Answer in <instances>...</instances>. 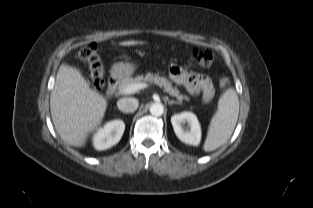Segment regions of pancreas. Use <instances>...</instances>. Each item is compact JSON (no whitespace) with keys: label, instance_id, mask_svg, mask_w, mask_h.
Listing matches in <instances>:
<instances>
[{"label":"pancreas","instance_id":"1","mask_svg":"<svg viewBox=\"0 0 313 208\" xmlns=\"http://www.w3.org/2000/svg\"><path fill=\"white\" fill-rule=\"evenodd\" d=\"M143 82H150L158 85L159 87H163L164 91L167 92L169 95L176 97L179 102H182L183 99L189 100L187 96H183L180 94L179 90L177 88H173L171 83L165 78V77H160L158 74H151L148 73L146 76H136L135 78L132 77H126L122 79L119 82L118 85V91L119 93L123 94V89L130 84H138V83H143Z\"/></svg>","mask_w":313,"mask_h":208}]
</instances>
